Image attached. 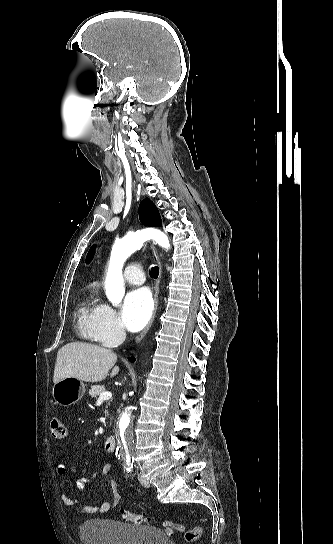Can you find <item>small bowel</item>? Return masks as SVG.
<instances>
[{
	"instance_id": "1",
	"label": "small bowel",
	"mask_w": 333,
	"mask_h": 544,
	"mask_svg": "<svg viewBox=\"0 0 333 544\" xmlns=\"http://www.w3.org/2000/svg\"><path fill=\"white\" fill-rule=\"evenodd\" d=\"M112 467H113V464L111 462L104 464L102 468H100L98 471L92 472L88 476L84 477L80 482H78L79 488H83L86 483L90 482L98 475L106 477L111 471ZM66 470H67V466L64 462H59L57 464L56 471L58 474L63 475L66 473ZM110 488H111V499L95 506L83 505L81 500L76 498H71L64 492L61 493V500L65 505L69 506L74 513L90 514V515L103 514L107 512L108 510H110L112 507L116 506L120 500V494H119L117 482L110 481Z\"/></svg>"
}]
</instances>
